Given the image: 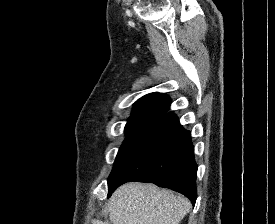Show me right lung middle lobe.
<instances>
[{
	"label": "right lung middle lobe",
	"mask_w": 275,
	"mask_h": 224,
	"mask_svg": "<svg viewBox=\"0 0 275 224\" xmlns=\"http://www.w3.org/2000/svg\"><path fill=\"white\" fill-rule=\"evenodd\" d=\"M164 115L165 113L161 112H146L133 114L128 119L125 127V133L127 136L119 149L109 179H111L121 169L128 157Z\"/></svg>",
	"instance_id": "dd1d6c3e"
}]
</instances>
